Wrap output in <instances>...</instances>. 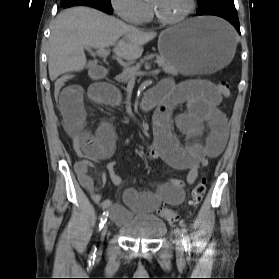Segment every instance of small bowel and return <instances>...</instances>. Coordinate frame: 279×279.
Segmentation results:
<instances>
[{"instance_id":"1","label":"small bowel","mask_w":279,"mask_h":279,"mask_svg":"<svg viewBox=\"0 0 279 279\" xmlns=\"http://www.w3.org/2000/svg\"><path fill=\"white\" fill-rule=\"evenodd\" d=\"M148 95L159 105L153 118L155 143L147 151L146 158L149 161L162 160L175 169L188 170L186 182L193 184L198 178L199 169L205 167L210 158L220 155L227 142V119L218 107L221 93L207 80H189L175 86L170 79H164ZM58 101L64 128L73 141L76 154L81 158L75 164L78 181L96 203L110 211L116 223H125L130 219L131 212L152 213L161 203H183L186 182L175 178L166 180L152 192L127 189L124 201L129 210L113 200L104 199L99 192L107 177L117 186L123 185V180L114 171L115 161L107 163V174L102 173L96 178L89 174L95 162L113 155L115 132L107 121L94 134L87 128L86 101L118 105L121 96L114 86L97 83L84 89L79 85H68ZM178 104L186 105V111L175 116L178 130L190 140L186 147L180 145L169 125L172 112ZM205 125L208 134L202 140Z\"/></svg>"}]
</instances>
